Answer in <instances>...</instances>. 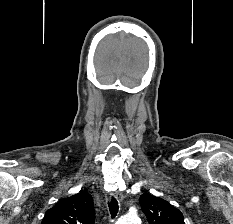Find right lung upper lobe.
<instances>
[{"label":"right lung upper lobe","instance_id":"1","mask_svg":"<svg viewBox=\"0 0 233 224\" xmlns=\"http://www.w3.org/2000/svg\"><path fill=\"white\" fill-rule=\"evenodd\" d=\"M95 210L92 196L80 192L61 199L47 210L41 224H94Z\"/></svg>","mask_w":233,"mask_h":224}]
</instances>
